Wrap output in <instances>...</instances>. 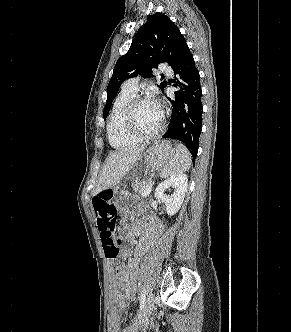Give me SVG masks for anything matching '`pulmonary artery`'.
I'll return each instance as SVG.
<instances>
[{
	"mask_svg": "<svg viewBox=\"0 0 291 332\" xmlns=\"http://www.w3.org/2000/svg\"><path fill=\"white\" fill-rule=\"evenodd\" d=\"M161 71L167 75L172 74V69L165 64L161 65ZM122 89L136 94L138 91V79L130 78V79L126 80L122 86Z\"/></svg>",
	"mask_w": 291,
	"mask_h": 332,
	"instance_id": "e3ab8cb5",
	"label": "pulmonary artery"
}]
</instances>
